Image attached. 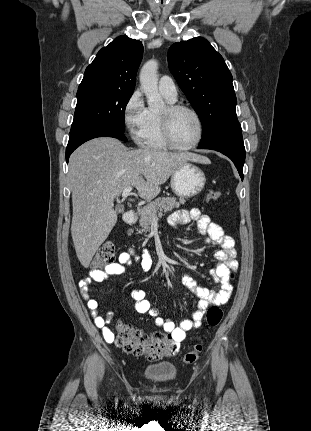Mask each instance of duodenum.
Segmentation results:
<instances>
[{
  "label": "duodenum",
  "instance_id": "1",
  "mask_svg": "<svg viewBox=\"0 0 311 431\" xmlns=\"http://www.w3.org/2000/svg\"><path fill=\"white\" fill-rule=\"evenodd\" d=\"M135 219H136V213L132 209L126 211L123 215V221L127 225L132 224L135 221Z\"/></svg>",
  "mask_w": 311,
  "mask_h": 431
}]
</instances>
